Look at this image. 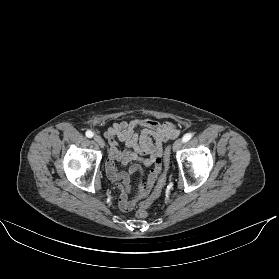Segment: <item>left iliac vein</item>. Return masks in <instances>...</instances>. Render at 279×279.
Wrapping results in <instances>:
<instances>
[{"label":"left iliac vein","mask_w":279,"mask_h":279,"mask_svg":"<svg viewBox=\"0 0 279 279\" xmlns=\"http://www.w3.org/2000/svg\"><path fill=\"white\" fill-rule=\"evenodd\" d=\"M182 145H183V140L182 139H177L173 144V147H172L173 151L174 152L178 151L181 148Z\"/></svg>","instance_id":"1"}]
</instances>
